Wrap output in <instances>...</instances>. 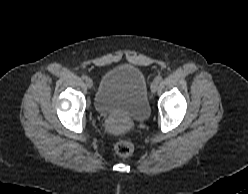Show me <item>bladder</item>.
<instances>
[{"instance_id":"bladder-1","label":"bladder","mask_w":248,"mask_h":194,"mask_svg":"<svg viewBox=\"0 0 248 194\" xmlns=\"http://www.w3.org/2000/svg\"><path fill=\"white\" fill-rule=\"evenodd\" d=\"M93 105L99 114H122L129 121L142 122L150 115L147 83L134 65H121L102 77Z\"/></svg>"}]
</instances>
